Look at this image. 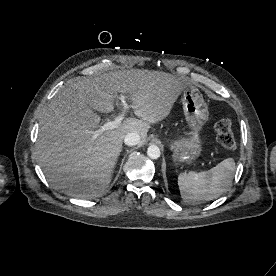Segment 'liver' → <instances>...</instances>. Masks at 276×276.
<instances>
[{"instance_id": "1", "label": "liver", "mask_w": 276, "mask_h": 276, "mask_svg": "<svg viewBox=\"0 0 276 276\" xmlns=\"http://www.w3.org/2000/svg\"><path fill=\"white\" fill-rule=\"evenodd\" d=\"M188 87L179 77L140 69L83 77L64 86L40 119L36 153L47 180L68 196L100 197L112 180L125 136L136 132L143 143L150 124L165 119ZM118 93L129 98L139 119L127 118L94 139L91 132L101 120L94 111L112 112Z\"/></svg>"}]
</instances>
